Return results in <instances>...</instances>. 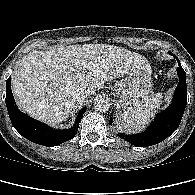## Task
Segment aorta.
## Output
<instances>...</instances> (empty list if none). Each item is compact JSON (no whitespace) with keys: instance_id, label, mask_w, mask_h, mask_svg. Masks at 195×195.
I'll list each match as a JSON object with an SVG mask.
<instances>
[{"instance_id":"obj_1","label":"aorta","mask_w":195,"mask_h":195,"mask_svg":"<svg viewBox=\"0 0 195 195\" xmlns=\"http://www.w3.org/2000/svg\"><path fill=\"white\" fill-rule=\"evenodd\" d=\"M94 108L96 111L106 112L109 110L110 104L106 99L100 98L94 102Z\"/></svg>"}]
</instances>
